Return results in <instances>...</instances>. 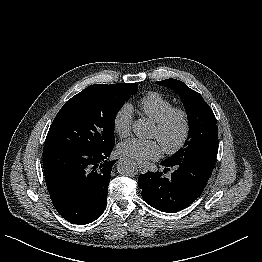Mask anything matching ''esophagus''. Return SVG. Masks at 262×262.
I'll return each instance as SVG.
<instances>
[{
	"instance_id": "esophagus-1",
	"label": "esophagus",
	"mask_w": 262,
	"mask_h": 262,
	"mask_svg": "<svg viewBox=\"0 0 262 262\" xmlns=\"http://www.w3.org/2000/svg\"><path fill=\"white\" fill-rule=\"evenodd\" d=\"M137 166L141 173H145L147 171L146 167L141 162H138Z\"/></svg>"
}]
</instances>
